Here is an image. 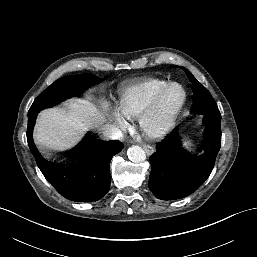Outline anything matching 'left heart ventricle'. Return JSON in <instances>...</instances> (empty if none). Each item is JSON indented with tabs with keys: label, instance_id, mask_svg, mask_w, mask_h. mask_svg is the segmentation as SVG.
<instances>
[{
	"label": "left heart ventricle",
	"instance_id": "b2bd125f",
	"mask_svg": "<svg viewBox=\"0 0 257 257\" xmlns=\"http://www.w3.org/2000/svg\"><path fill=\"white\" fill-rule=\"evenodd\" d=\"M182 98V91L179 87L173 86L169 88L163 96L161 108L162 111H168L174 108Z\"/></svg>",
	"mask_w": 257,
	"mask_h": 257
}]
</instances>
